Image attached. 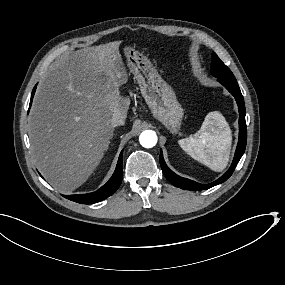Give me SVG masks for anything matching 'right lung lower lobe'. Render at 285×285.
<instances>
[{
    "mask_svg": "<svg viewBox=\"0 0 285 285\" xmlns=\"http://www.w3.org/2000/svg\"><path fill=\"white\" fill-rule=\"evenodd\" d=\"M36 90V86L34 87L31 95L30 106L32 103V99ZM29 106V108H30ZM123 151L120 153L119 160L115 169L114 174L110 178V180L97 191L88 193V194H78V195H64L65 198L72 200L81 204H92L99 201H102L112 195L119 188L122 179H123Z\"/></svg>",
    "mask_w": 285,
    "mask_h": 285,
    "instance_id": "right-lung-lower-lobe-1",
    "label": "right lung lower lobe"
}]
</instances>
